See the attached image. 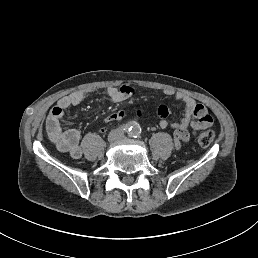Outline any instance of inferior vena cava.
Instances as JSON below:
<instances>
[{"label": "inferior vena cava", "mask_w": 258, "mask_h": 258, "mask_svg": "<svg viewBox=\"0 0 258 258\" xmlns=\"http://www.w3.org/2000/svg\"><path fill=\"white\" fill-rule=\"evenodd\" d=\"M111 137H116V132H111Z\"/></svg>", "instance_id": "obj_1"}]
</instances>
